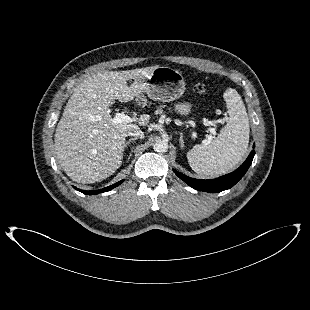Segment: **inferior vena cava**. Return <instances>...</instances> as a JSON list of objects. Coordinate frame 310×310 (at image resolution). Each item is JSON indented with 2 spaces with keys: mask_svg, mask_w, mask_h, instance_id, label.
Instances as JSON below:
<instances>
[{
  "mask_svg": "<svg viewBox=\"0 0 310 310\" xmlns=\"http://www.w3.org/2000/svg\"><path fill=\"white\" fill-rule=\"evenodd\" d=\"M127 136H135L139 138H144V133L139 128H135V129L128 131Z\"/></svg>",
  "mask_w": 310,
  "mask_h": 310,
  "instance_id": "inferior-vena-cava-1",
  "label": "inferior vena cava"
}]
</instances>
